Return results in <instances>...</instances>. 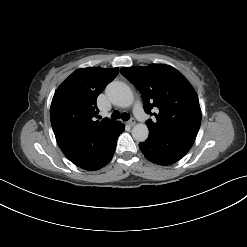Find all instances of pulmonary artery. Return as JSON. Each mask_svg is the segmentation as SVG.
Listing matches in <instances>:
<instances>
[{
  "mask_svg": "<svg viewBox=\"0 0 247 247\" xmlns=\"http://www.w3.org/2000/svg\"><path fill=\"white\" fill-rule=\"evenodd\" d=\"M134 114L135 117L139 120V121H144L145 118L147 117L145 112L143 111L142 105L140 102L137 103L135 109H134Z\"/></svg>",
  "mask_w": 247,
  "mask_h": 247,
  "instance_id": "obj_1",
  "label": "pulmonary artery"
}]
</instances>
